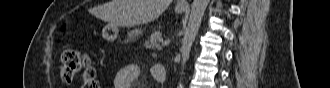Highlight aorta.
<instances>
[{"instance_id": "aorta-1", "label": "aorta", "mask_w": 330, "mask_h": 88, "mask_svg": "<svg viewBox=\"0 0 330 88\" xmlns=\"http://www.w3.org/2000/svg\"><path fill=\"white\" fill-rule=\"evenodd\" d=\"M209 0H193L191 5V12L185 29L184 37L182 40V68L181 75L184 74V67L189 59L192 44L198 33L199 27L202 22L203 15L208 6ZM178 88H183L182 78L178 83Z\"/></svg>"}]
</instances>
